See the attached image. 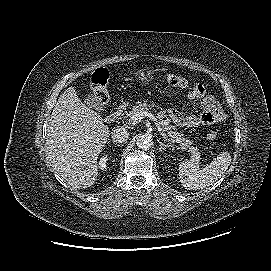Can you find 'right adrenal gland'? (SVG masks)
Returning <instances> with one entry per match:
<instances>
[{
    "instance_id": "obj_1",
    "label": "right adrenal gland",
    "mask_w": 271,
    "mask_h": 271,
    "mask_svg": "<svg viewBox=\"0 0 271 271\" xmlns=\"http://www.w3.org/2000/svg\"><path fill=\"white\" fill-rule=\"evenodd\" d=\"M112 143H113L114 145H116V146H120V145L117 144V142H115V141H112Z\"/></svg>"
}]
</instances>
